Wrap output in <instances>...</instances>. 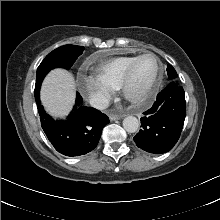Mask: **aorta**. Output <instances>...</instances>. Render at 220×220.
<instances>
[{
	"instance_id": "obj_1",
	"label": "aorta",
	"mask_w": 220,
	"mask_h": 220,
	"mask_svg": "<svg viewBox=\"0 0 220 220\" xmlns=\"http://www.w3.org/2000/svg\"><path fill=\"white\" fill-rule=\"evenodd\" d=\"M123 127L128 133H134L139 128V121L134 116H127L123 120Z\"/></svg>"
}]
</instances>
